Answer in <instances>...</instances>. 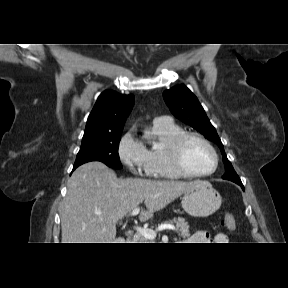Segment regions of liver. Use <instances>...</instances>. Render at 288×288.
I'll return each mask as SVG.
<instances>
[{"label": "liver", "instance_id": "liver-1", "mask_svg": "<svg viewBox=\"0 0 288 288\" xmlns=\"http://www.w3.org/2000/svg\"><path fill=\"white\" fill-rule=\"evenodd\" d=\"M195 182L119 179L105 164L78 167L67 183L61 210L62 243H113L116 223L144 201L139 220L190 191Z\"/></svg>", "mask_w": 288, "mask_h": 288}]
</instances>
